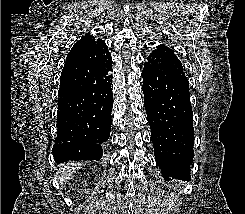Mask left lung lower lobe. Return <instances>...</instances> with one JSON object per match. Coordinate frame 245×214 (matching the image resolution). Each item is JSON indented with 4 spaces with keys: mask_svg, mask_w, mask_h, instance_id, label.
<instances>
[{
    "mask_svg": "<svg viewBox=\"0 0 245 214\" xmlns=\"http://www.w3.org/2000/svg\"><path fill=\"white\" fill-rule=\"evenodd\" d=\"M142 77L156 163L166 180L190 181L194 129L188 79L150 65Z\"/></svg>",
    "mask_w": 245,
    "mask_h": 214,
    "instance_id": "obj_1",
    "label": "left lung lower lobe"
}]
</instances>
